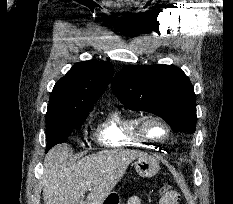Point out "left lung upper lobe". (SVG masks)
I'll list each match as a JSON object with an SVG mask.
<instances>
[{
    "label": "left lung upper lobe",
    "mask_w": 233,
    "mask_h": 204,
    "mask_svg": "<svg viewBox=\"0 0 233 204\" xmlns=\"http://www.w3.org/2000/svg\"><path fill=\"white\" fill-rule=\"evenodd\" d=\"M112 90L127 108L161 117L174 132H195L194 88L180 68L132 65L115 75Z\"/></svg>",
    "instance_id": "obj_1"
}]
</instances>
